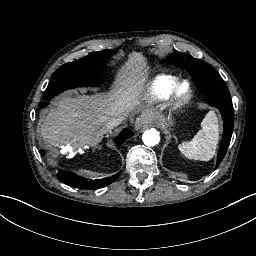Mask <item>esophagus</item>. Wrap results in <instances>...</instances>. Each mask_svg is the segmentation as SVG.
I'll list each match as a JSON object with an SVG mask.
<instances>
[{
	"label": "esophagus",
	"mask_w": 256,
	"mask_h": 256,
	"mask_svg": "<svg viewBox=\"0 0 256 256\" xmlns=\"http://www.w3.org/2000/svg\"><path fill=\"white\" fill-rule=\"evenodd\" d=\"M151 119L144 116V115H141L139 116L135 122H134V128L135 130H139L141 129L142 127H147V126H150L151 125Z\"/></svg>",
	"instance_id": "34e87169"
}]
</instances>
